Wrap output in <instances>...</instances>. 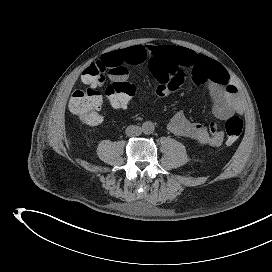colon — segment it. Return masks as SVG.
<instances>
[{"label":"colon","mask_w":272,"mask_h":272,"mask_svg":"<svg viewBox=\"0 0 272 272\" xmlns=\"http://www.w3.org/2000/svg\"><path fill=\"white\" fill-rule=\"evenodd\" d=\"M108 72L113 80L106 86L105 94L114 108L125 107L136 93L135 86L126 80L127 70L121 66L107 67L96 61L82 73V81L87 87L73 92L69 109L73 115L86 125H95L101 120L102 96L98 87ZM244 123L237 116L230 117L225 123L227 144L232 145L240 137Z\"/></svg>","instance_id":"colon-1"}]
</instances>
